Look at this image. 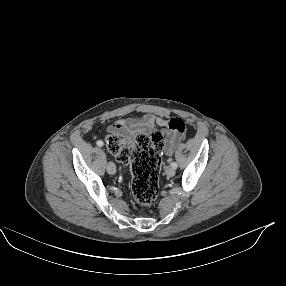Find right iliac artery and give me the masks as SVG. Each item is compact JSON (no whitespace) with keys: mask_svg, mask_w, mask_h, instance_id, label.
<instances>
[{"mask_svg":"<svg viewBox=\"0 0 286 286\" xmlns=\"http://www.w3.org/2000/svg\"><path fill=\"white\" fill-rule=\"evenodd\" d=\"M96 144H97V146L101 147V146H103V141L98 140V141L96 142Z\"/></svg>","mask_w":286,"mask_h":286,"instance_id":"1","label":"right iliac artery"}]
</instances>
